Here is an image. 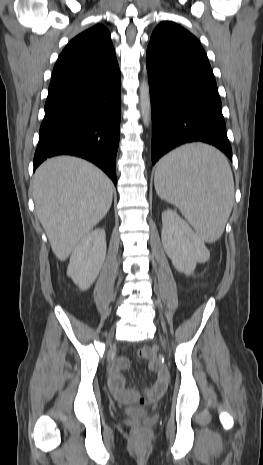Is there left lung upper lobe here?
Listing matches in <instances>:
<instances>
[{"label": "left lung upper lobe", "instance_id": "1", "mask_svg": "<svg viewBox=\"0 0 263 465\" xmlns=\"http://www.w3.org/2000/svg\"><path fill=\"white\" fill-rule=\"evenodd\" d=\"M148 48L176 57L207 60L200 42L190 32L173 22L160 23L152 33Z\"/></svg>", "mask_w": 263, "mask_h": 465}]
</instances>
